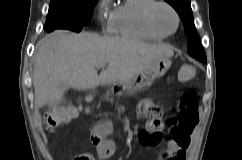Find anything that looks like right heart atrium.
I'll return each instance as SVG.
<instances>
[{"label": "right heart atrium", "instance_id": "right-heart-atrium-1", "mask_svg": "<svg viewBox=\"0 0 242 160\" xmlns=\"http://www.w3.org/2000/svg\"><path fill=\"white\" fill-rule=\"evenodd\" d=\"M111 0H100L99 2V16L100 19H106L107 23L110 25V18H111Z\"/></svg>", "mask_w": 242, "mask_h": 160}]
</instances>
